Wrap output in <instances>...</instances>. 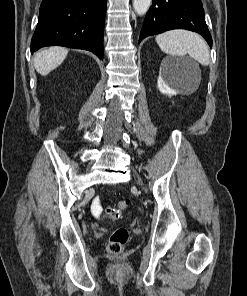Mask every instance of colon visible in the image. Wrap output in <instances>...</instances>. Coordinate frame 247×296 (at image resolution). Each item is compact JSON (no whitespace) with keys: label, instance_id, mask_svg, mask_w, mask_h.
<instances>
[{"label":"colon","instance_id":"1","mask_svg":"<svg viewBox=\"0 0 247 296\" xmlns=\"http://www.w3.org/2000/svg\"><path fill=\"white\" fill-rule=\"evenodd\" d=\"M130 205V200L128 198H125L115 204L109 205L105 210H104V215L107 218L114 219L117 218L120 211L122 209H125ZM129 239V232L126 228L120 227L115 229L109 238V243H108V252L113 255L120 254L125 245L127 244Z\"/></svg>","mask_w":247,"mask_h":296}]
</instances>
